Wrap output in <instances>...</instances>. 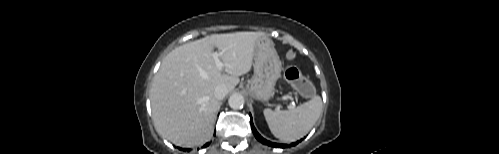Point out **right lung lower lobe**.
Here are the masks:
<instances>
[{"label": "right lung lower lobe", "instance_id": "right-lung-lower-lobe-1", "mask_svg": "<svg viewBox=\"0 0 499 154\" xmlns=\"http://www.w3.org/2000/svg\"><path fill=\"white\" fill-rule=\"evenodd\" d=\"M208 145H209V143H207L206 145H204V147H206ZM180 150L186 151V149H183V148H180ZM187 150L189 151L190 149H187Z\"/></svg>", "mask_w": 499, "mask_h": 154}]
</instances>
